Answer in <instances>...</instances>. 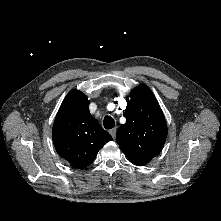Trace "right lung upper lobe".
I'll list each match as a JSON object with an SVG mask.
<instances>
[{
    "label": "right lung upper lobe",
    "instance_id": "right-lung-upper-lobe-1",
    "mask_svg": "<svg viewBox=\"0 0 221 221\" xmlns=\"http://www.w3.org/2000/svg\"><path fill=\"white\" fill-rule=\"evenodd\" d=\"M82 92L70 91L56 115L52 138L57 153L76 168L92 163L98 151L112 140L89 112Z\"/></svg>",
    "mask_w": 221,
    "mask_h": 221
}]
</instances>
